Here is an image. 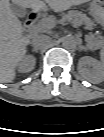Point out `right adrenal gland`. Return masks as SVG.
I'll list each match as a JSON object with an SVG mask.
<instances>
[{"label": "right adrenal gland", "mask_w": 104, "mask_h": 137, "mask_svg": "<svg viewBox=\"0 0 104 137\" xmlns=\"http://www.w3.org/2000/svg\"><path fill=\"white\" fill-rule=\"evenodd\" d=\"M32 52H33V53H38V50L34 48V49L32 50Z\"/></svg>", "instance_id": "obj_1"}]
</instances>
